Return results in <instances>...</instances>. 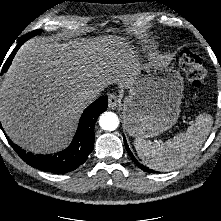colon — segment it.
<instances>
[{
  "label": "colon",
  "mask_w": 221,
  "mask_h": 221,
  "mask_svg": "<svg viewBox=\"0 0 221 221\" xmlns=\"http://www.w3.org/2000/svg\"><path fill=\"white\" fill-rule=\"evenodd\" d=\"M179 65L193 87L199 88L203 85L206 70L197 54L189 50L182 51L179 56Z\"/></svg>",
  "instance_id": "5ec220e1"
}]
</instances>
